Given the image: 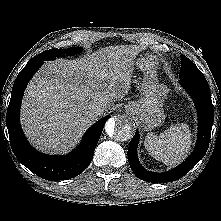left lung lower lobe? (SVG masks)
I'll use <instances>...</instances> for the list:
<instances>
[{"instance_id":"0a47b994","label":"left lung lower lobe","mask_w":221,"mask_h":221,"mask_svg":"<svg viewBox=\"0 0 221 221\" xmlns=\"http://www.w3.org/2000/svg\"><path fill=\"white\" fill-rule=\"evenodd\" d=\"M180 84L192 96L198 112L199 130L196 147L189 158L176 168L164 173L150 172L144 169L138 161L137 146L139 132L136 130L129 144L128 161L134 174L141 180L153 183H166L178 180L201 160L208 149L214 110L207 80L205 78H180Z\"/></svg>"}]
</instances>
